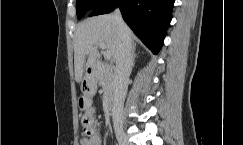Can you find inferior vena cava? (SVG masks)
<instances>
[{
    "mask_svg": "<svg viewBox=\"0 0 243 145\" xmlns=\"http://www.w3.org/2000/svg\"><path fill=\"white\" fill-rule=\"evenodd\" d=\"M114 17L118 25L120 45L116 58V68L114 74L113 115L121 122L129 76L133 66L131 53L132 42L129 36L128 27L124 23L118 9L115 10Z\"/></svg>",
    "mask_w": 243,
    "mask_h": 145,
    "instance_id": "1",
    "label": "inferior vena cava"
}]
</instances>
